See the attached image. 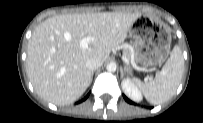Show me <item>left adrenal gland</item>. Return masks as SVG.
<instances>
[{
	"instance_id": "1",
	"label": "left adrenal gland",
	"mask_w": 203,
	"mask_h": 123,
	"mask_svg": "<svg viewBox=\"0 0 203 123\" xmlns=\"http://www.w3.org/2000/svg\"><path fill=\"white\" fill-rule=\"evenodd\" d=\"M120 72H121V78H123V76H124V70H123L122 67H120Z\"/></svg>"
}]
</instances>
